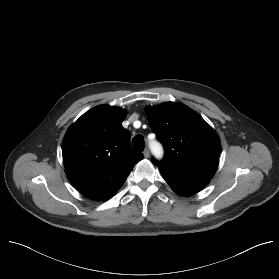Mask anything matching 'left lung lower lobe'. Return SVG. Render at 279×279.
Instances as JSON below:
<instances>
[{"label":"left lung lower lobe","mask_w":279,"mask_h":279,"mask_svg":"<svg viewBox=\"0 0 279 279\" xmlns=\"http://www.w3.org/2000/svg\"><path fill=\"white\" fill-rule=\"evenodd\" d=\"M159 170L164 180L172 187L174 192L180 195L195 194L209 183V181L186 178L161 168Z\"/></svg>","instance_id":"left-lung-lower-lobe-1"}]
</instances>
